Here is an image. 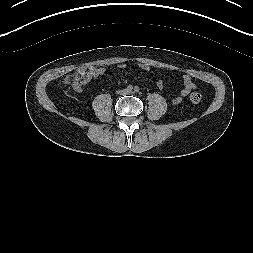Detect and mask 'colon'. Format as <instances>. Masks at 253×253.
Returning <instances> with one entry per match:
<instances>
[{"label": "colon", "instance_id": "colon-1", "mask_svg": "<svg viewBox=\"0 0 253 253\" xmlns=\"http://www.w3.org/2000/svg\"><path fill=\"white\" fill-rule=\"evenodd\" d=\"M91 69L90 68H82L80 69L78 72H76L73 77H72V86L73 88H78V87H82L83 84L85 83L86 79L89 78V75L91 73ZM202 99V95L199 91L194 90L191 92L190 94V100L193 103H199Z\"/></svg>", "mask_w": 253, "mask_h": 253}]
</instances>
